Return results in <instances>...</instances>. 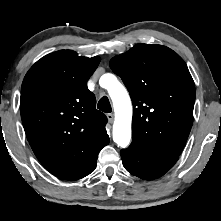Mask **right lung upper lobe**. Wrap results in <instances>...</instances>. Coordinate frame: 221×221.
<instances>
[{"instance_id": "obj_1", "label": "right lung upper lobe", "mask_w": 221, "mask_h": 221, "mask_svg": "<svg viewBox=\"0 0 221 221\" xmlns=\"http://www.w3.org/2000/svg\"><path fill=\"white\" fill-rule=\"evenodd\" d=\"M100 57L53 52L37 61L21 87L20 113L27 139L53 175L77 176L109 143L106 116L98 111L87 81Z\"/></svg>"}]
</instances>
